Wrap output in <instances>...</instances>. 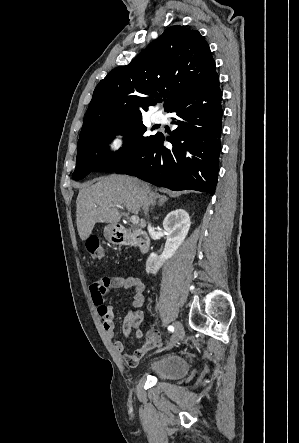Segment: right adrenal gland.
<instances>
[{
	"mask_svg": "<svg viewBox=\"0 0 299 443\" xmlns=\"http://www.w3.org/2000/svg\"><path fill=\"white\" fill-rule=\"evenodd\" d=\"M158 198H159V202H158L159 207L162 206V204L167 201V198L165 196H158Z\"/></svg>",
	"mask_w": 299,
	"mask_h": 443,
	"instance_id": "2a0ac1e0",
	"label": "right adrenal gland"
}]
</instances>
